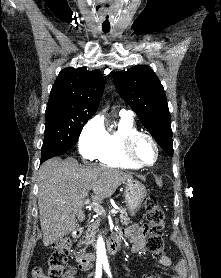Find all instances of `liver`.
I'll list each match as a JSON object with an SVG mask.
<instances>
[{"mask_svg":"<svg viewBox=\"0 0 221 278\" xmlns=\"http://www.w3.org/2000/svg\"><path fill=\"white\" fill-rule=\"evenodd\" d=\"M133 177L123 171L99 166L84 168L74 158L46 161L39 171L38 206L43 243L48 246L70 234L84 220V201L101 203Z\"/></svg>","mask_w":221,"mask_h":278,"instance_id":"6515ba94","label":"liver"}]
</instances>
